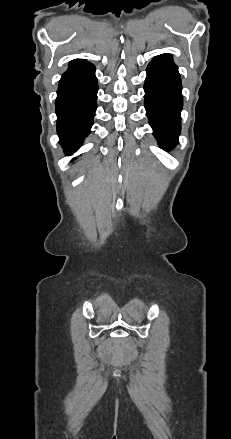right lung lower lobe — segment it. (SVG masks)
<instances>
[{"label":"right lung lower lobe","instance_id":"obj_1","mask_svg":"<svg viewBox=\"0 0 231 439\" xmlns=\"http://www.w3.org/2000/svg\"><path fill=\"white\" fill-rule=\"evenodd\" d=\"M95 67L79 59L62 75L56 98L57 133L67 155L77 151L91 132L97 108Z\"/></svg>","mask_w":231,"mask_h":439}]
</instances>
